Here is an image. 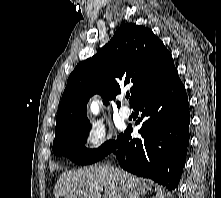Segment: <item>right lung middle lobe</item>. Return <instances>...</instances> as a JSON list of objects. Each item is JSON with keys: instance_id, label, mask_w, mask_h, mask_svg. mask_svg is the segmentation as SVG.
<instances>
[{"instance_id": "dd1d6c3e", "label": "right lung middle lobe", "mask_w": 221, "mask_h": 198, "mask_svg": "<svg viewBox=\"0 0 221 198\" xmlns=\"http://www.w3.org/2000/svg\"><path fill=\"white\" fill-rule=\"evenodd\" d=\"M90 127V124H85L56 136L53 142L54 154L57 156H67L78 165H89L103 159L117 147L122 134L118 136L116 141L109 140L97 149H87L85 143Z\"/></svg>"}]
</instances>
